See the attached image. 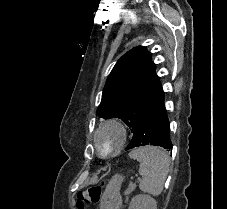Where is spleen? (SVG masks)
Here are the masks:
<instances>
[{
	"instance_id": "spleen-1",
	"label": "spleen",
	"mask_w": 227,
	"mask_h": 209,
	"mask_svg": "<svg viewBox=\"0 0 227 209\" xmlns=\"http://www.w3.org/2000/svg\"><path fill=\"white\" fill-rule=\"evenodd\" d=\"M130 159L139 161L140 181L139 189L158 197L163 191L164 183L169 171V157L159 147H138L129 153Z\"/></svg>"
}]
</instances>
